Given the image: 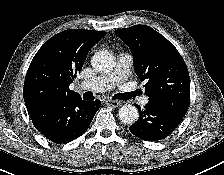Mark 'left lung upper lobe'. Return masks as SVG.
Here are the masks:
<instances>
[{
  "label": "left lung upper lobe",
  "mask_w": 224,
  "mask_h": 175,
  "mask_svg": "<svg viewBox=\"0 0 224 175\" xmlns=\"http://www.w3.org/2000/svg\"><path fill=\"white\" fill-rule=\"evenodd\" d=\"M115 33L130 47L136 75L141 81L146 80L145 95L149 101L189 105V73L172 43L146 25Z\"/></svg>",
  "instance_id": "5c2ea615"
}]
</instances>
